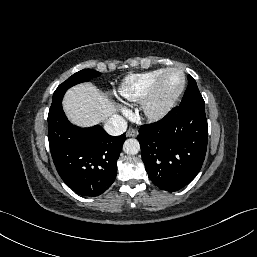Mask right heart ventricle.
<instances>
[{"mask_svg": "<svg viewBox=\"0 0 257 257\" xmlns=\"http://www.w3.org/2000/svg\"><path fill=\"white\" fill-rule=\"evenodd\" d=\"M166 68L128 76L117 89V95L124 104L142 102L150 93L156 80Z\"/></svg>", "mask_w": 257, "mask_h": 257, "instance_id": "right-heart-ventricle-1", "label": "right heart ventricle"}]
</instances>
